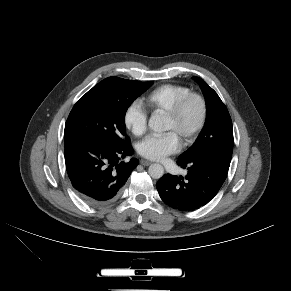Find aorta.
<instances>
[{
	"label": "aorta",
	"mask_w": 291,
	"mask_h": 291,
	"mask_svg": "<svg viewBox=\"0 0 291 291\" xmlns=\"http://www.w3.org/2000/svg\"><path fill=\"white\" fill-rule=\"evenodd\" d=\"M148 126L155 132L166 130L164 119L159 115H152L149 119ZM148 173L152 178L160 179L164 175V168L160 164H151Z\"/></svg>",
	"instance_id": "obj_1"
}]
</instances>
